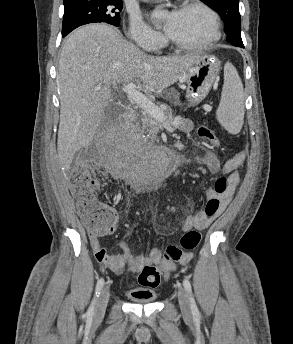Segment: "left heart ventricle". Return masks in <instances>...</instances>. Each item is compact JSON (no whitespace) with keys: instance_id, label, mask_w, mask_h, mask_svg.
Here are the masks:
<instances>
[{"instance_id":"1","label":"left heart ventricle","mask_w":293,"mask_h":344,"mask_svg":"<svg viewBox=\"0 0 293 344\" xmlns=\"http://www.w3.org/2000/svg\"><path fill=\"white\" fill-rule=\"evenodd\" d=\"M165 26L168 35L185 43L204 42L212 34L209 15L197 8L167 15Z\"/></svg>"}]
</instances>
